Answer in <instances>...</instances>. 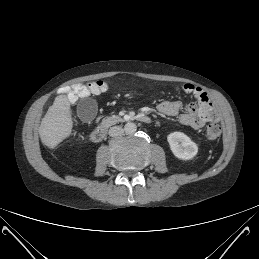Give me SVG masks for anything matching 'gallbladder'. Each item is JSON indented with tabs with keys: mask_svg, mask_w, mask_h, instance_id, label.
I'll list each match as a JSON object with an SVG mask.
<instances>
[{
	"mask_svg": "<svg viewBox=\"0 0 259 259\" xmlns=\"http://www.w3.org/2000/svg\"><path fill=\"white\" fill-rule=\"evenodd\" d=\"M96 109L97 106L94 100L84 99L78 104L80 116L85 121H90L94 118Z\"/></svg>",
	"mask_w": 259,
	"mask_h": 259,
	"instance_id": "bac80fb5",
	"label": "gallbladder"
}]
</instances>
